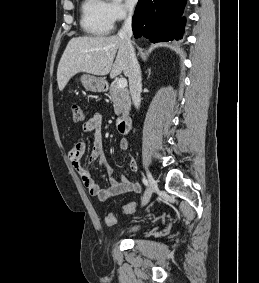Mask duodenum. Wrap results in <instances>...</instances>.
Listing matches in <instances>:
<instances>
[{
	"label": "duodenum",
	"instance_id": "duodenum-1",
	"mask_svg": "<svg viewBox=\"0 0 259 283\" xmlns=\"http://www.w3.org/2000/svg\"><path fill=\"white\" fill-rule=\"evenodd\" d=\"M131 117L129 115H122L117 120V129L121 134H127L131 127Z\"/></svg>",
	"mask_w": 259,
	"mask_h": 283
}]
</instances>
